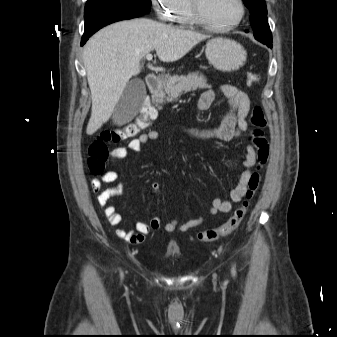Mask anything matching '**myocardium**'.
Instances as JSON below:
<instances>
[{"mask_svg":"<svg viewBox=\"0 0 337 337\" xmlns=\"http://www.w3.org/2000/svg\"><path fill=\"white\" fill-rule=\"evenodd\" d=\"M189 1H190L191 12H192L193 18L196 21V23L202 25L203 27H205V28H207L211 31H216V32L230 31V30L236 28L237 26H239L245 18L246 6H245V3H244V0H237V3L239 5V9H240L239 16L234 22H232L230 24H226V25H219V24H215V23H212L211 21H209L205 17V15H204V13L201 9V1L200 0H189Z\"/></svg>","mask_w":337,"mask_h":337,"instance_id":"obj_1","label":"myocardium"}]
</instances>
